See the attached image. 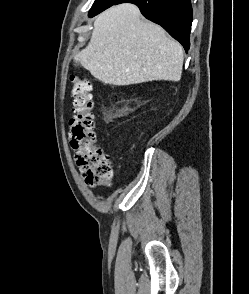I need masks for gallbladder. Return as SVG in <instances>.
Segmentation results:
<instances>
[{
  "label": "gallbladder",
  "mask_w": 249,
  "mask_h": 294,
  "mask_svg": "<svg viewBox=\"0 0 249 294\" xmlns=\"http://www.w3.org/2000/svg\"><path fill=\"white\" fill-rule=\"evenodd\" d=\"M74 62H75V65H79L80 63L78 62V61H76V60H74Z\"/></svg>",
  "instance_id": "obj_1"
}]
</instances>
